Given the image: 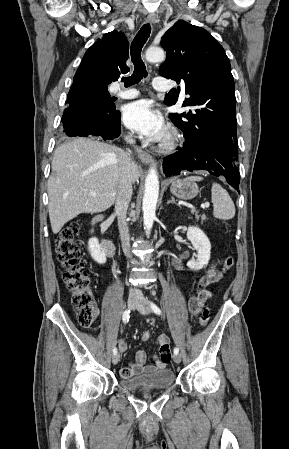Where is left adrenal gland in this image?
<instances>
[{"label":"left adrenal gland","instance_id":"obj_1","mask_svg":"<svg viewBox=\"0 0 289 449\" xmlns=\"http://www.w3.org/2000/svg\"><path fill=\"white\" fill-rule=\"evenodd\" d=\"M169 203H173V204L178 205V204L176 203L174 197H171V200H169V201L167 202V204H169ZM178 206H179V205H178Z\"/></svg>","mask_w":289,"mask_h":449}]
</instances>
